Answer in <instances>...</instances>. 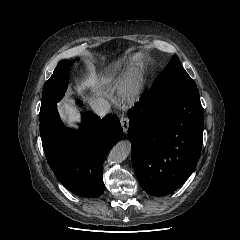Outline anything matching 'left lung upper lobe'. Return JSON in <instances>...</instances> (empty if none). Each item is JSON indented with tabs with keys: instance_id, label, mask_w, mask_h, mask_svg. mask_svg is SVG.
Returning <instances> with one entry per match:
<instances>
[{
	"instance_id": "left-lung-upper-lobe-1",
	"label": "left lung upper lobe",
	"mask_w": 240,
	"mask_h": 240,
	"mask_svg": "<svg viewBox=\"0 0 240 240\" xmlns=\"http://www.w3.org/2000/svg\"><path fill=\"white\" fill-rule=\"evenodd\" d=\"M168 85L179 86H193L196 87L195 82L190 78L179 59L173 56L169 64L162 71V73L154 80L151 88L152 90L159 89Z\"/></svg>"
}]
</instances>
